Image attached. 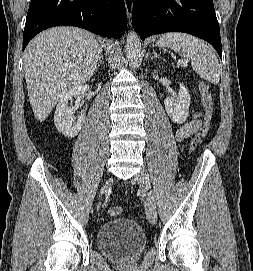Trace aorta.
<instances>
[{"mask_svg": "<svg viewBox=\"0 0 253 271\" xmlns=\"http://www.w3.org/2000/svg\"><path fill=\"white\" fill-rule=\"evenodd\" d=\"M126 55L129 66L134 69L138 67L141 57V42L138 34L134 31L127 35Z\"/></svg>", "mask_w": 253, "mask_h": 271, "instance_id": "762f6f07", "label": "aorta"}]
</instances>
